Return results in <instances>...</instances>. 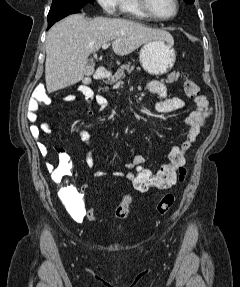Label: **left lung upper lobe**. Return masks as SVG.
<instances>
[{"label":"left lung upper lobe","instance_id":"left-lung-upper-lobe-1","mask_svg":"<svg viewBox=\"0 0 240 287\" xmlns=\"http://www.w3.org/2000/svg\"><path fill=\"white\" fill-rule=\"evenodd\" d=\"M186 3L192 4L194 0H184Z\"/></svg>","mask_w":240,"mask_h":287}]
</instances>
